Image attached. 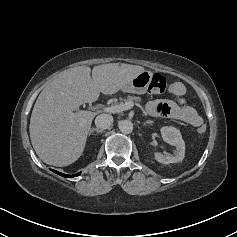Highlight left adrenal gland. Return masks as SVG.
<instances>
[{
	"label": "left adrenal gland",
	"instance_id": "obj_1",
	"mask_svg": "<svg viewBox=\"0 0 237 237\" xmlns=\"http://www.w3.org/2000/svg\"><path fill=\"white\" fill-rule=\"evenodd\" d=\"M146 124H152V121H147V122L144 123L143 125L146 126Z\"/></svg>",
	"mask_w": 237,
	"mask_h": 237
}]
</instances>
